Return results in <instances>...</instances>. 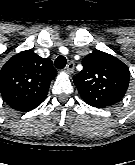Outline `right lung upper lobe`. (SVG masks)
<instances>
[{"instance_id": "1", "label": "right lung upper lobe", "mask_w": 135, "mask_h": 165, "mask_svg": "<svg viewBox=\"0 0 135 165\" xmlns=\"http://www.w3.org/2000/svg\"><path fill=\"white\" fill-rule=\"evenodd\" d=\"M56 75L50 59L32 50L22 51L11 57L0 71L2 97L11 108L30 111L44 101Z\"/></svg>"}]
</instances>
